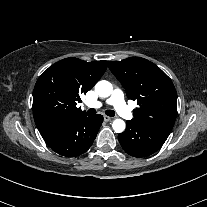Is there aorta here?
I'll return each mask as SVG.
<instances>
[{
	"instance_id": "1",
	"label": "aorta",
	"mask_w": 207,
	"mask_h": 207,
	"mask_svg": "<svg viewBox=\"0 0 207 207\" xmlns=\"http://www.w3.org/2000/svg\"><path fill=\"white\" fill-rule=\"evenodd\" d=\"M95 90L100 97H108L113 91L112 84L106 80L99 81L95 85ZM125 122L122 119H115L112 123L113 130L121 133L125 130Z\"/></svg>"
}]
</instances>
